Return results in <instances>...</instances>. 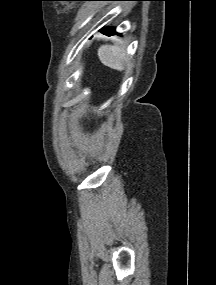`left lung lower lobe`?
<instances>
[{
  "label": "left lung lower lobe",
  "instance_id": "1",
  "mask_svg": "<svg viewBox=\"0 0 216 285\" xmlns=\"http://www.w3.org/2000/svg\"><path fill=\"white\" fill-rule=\"evenodd\" d=\"M100 32L107 35V36L118 34L114 31V28H112V27L101 29ZM118 35H120V34H118Z\"/></svg>",
  "mask_w": 216,
  "mask_h": 285
}]
</instances>
